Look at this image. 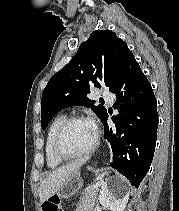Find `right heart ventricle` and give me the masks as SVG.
Wrapping results in <instances>:
<instances>
[{
  "label": "right heart ventricle",
  "mask_w": 179,
  "mask_h": 211,
  "mask_svg": "<svg viewBox=\"0 0 179 211\" xmlns=\"http://www.w3.org/2000/svg\"><path fill=\"white\" fill-rule=\"evenodd\" d=\"M66 119L65 115L57 116L49 125L45 138V159L47 167L50 169L57 168L62 164V160L58 159L53 152V140L57 129Z\"/></svg>",
  "instance_id": "obj_1"
}]
</instances>
